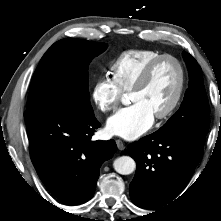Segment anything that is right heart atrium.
Returning a JSON list of instances; mask_svg holds the SVG:
<instances>
[{
    "mask_svg": "<svg viewBox=\"0 0 221 221\" xmlns=\"http://www.w3.org/2000/svg\"><path fill=\"white\" fill-rule=\"evenodd\" d=\"M123 97V92L106 76L95 81L91 90V98L98 110L103 113L115 111Z\"/></svg>",
    "mask_w": 221,
    "mask_h": 221,
    "instance_id": "obj_1",
    "label": "right heart atrium"
}]
</instances>
